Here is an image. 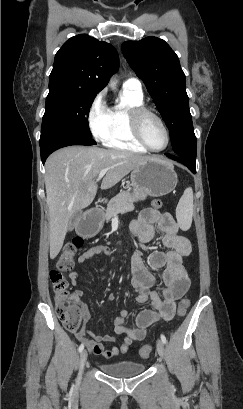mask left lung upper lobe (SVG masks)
<instances>
[{
	"instance_id": "1",
	"label": "left lung upper lobe",
	"mask_w": 243,
	"mask_h": 409,
	"mask_svg": "<svg viewBox=\"0 0 243 409\" xmlns=\"http://www.w3.org/2000/svg\"><path fill=\"white\" fill-rule=\"evenodd\" d=\"M121 47L127 62L154 99L171 134L175 154L196 161V137L178 56L164 40L156 37L126 41Z\"/></svg>"
}]
</instances>
